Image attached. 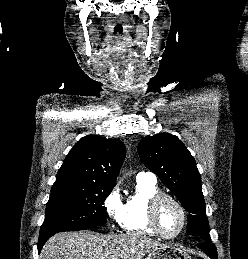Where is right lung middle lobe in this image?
Segmentation results:
<instances>
[{"label":"right lung middle lobe","instance_id":"dd1d6c3e","mask_svg":"<svg viewBox=\"0 0 248 259\" xmlns=\"http://www.w3.org/2000/svg\"><path fill=\"white\" fill-rule=\"evenodd\" d=\"M114 186H52L40 235L91 229L106 220L104 201Z\"/></svg>","mask_w":248,"mask_h":259}]
</instances>
